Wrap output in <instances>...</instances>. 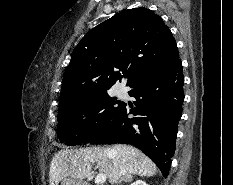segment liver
<instances>
[{
	"label": "liver",
	"instance_id": "6515ba94",
	"mask_svg": "<svg viewBox=\"0 0 233 185\" xmlns=\"http://www.w3.org/2000/svg\"><path fill=\"white\" fill-rule=\"evenodd\" d=\"M113 185L122 175L154 176L156 165L139 149L125 144L59 150L50 164L49 183L58 185L66 178L83 181L90 175L92 164Z\"/></svg>",
	"mask_w": 233,
	"mask_h": 185
}]
</instances>
